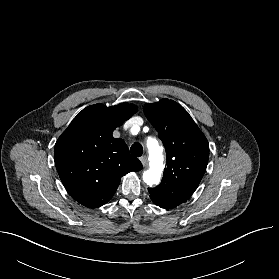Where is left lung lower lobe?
<instances>
[{"mask_svg": "<svg viewBox=\"0 0 279 279\" xmlns=\"http://www.w3.org/2000/svg\"><path fill=\"white\" fill-rule=\"evenodd\" d=\"M156 205H158L161 208L170 209L178 206L179 204L176 203H170V202H164L159 200H152Z\"/></svg>", "mask_w": 279, "mask_h": 279, "instance_id": "left-lung-lower-lobe-1", "label": "left lung lower lobe"}]
</instances>
